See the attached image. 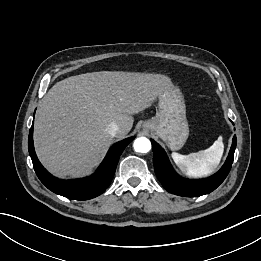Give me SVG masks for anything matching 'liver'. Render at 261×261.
<instances>
[{"mask_svg":"<svg viewBox=\"0 0 261 261\" xmlns=\"http://www.w3.org/2000/svg\"><path fill=\"white\" fill-rule=\"evenodd\" d=\"M172 86L162 74L122 71L86 73L57 82L35 119L40 162L57 177L88 174L112 143L107 126L115 122V136L124 138L133 126L132 115L150 107Z\"/></svg>","mask_w":261,"mask_h":261,"instance_id":"1","label":"liver"}]
</instances>
